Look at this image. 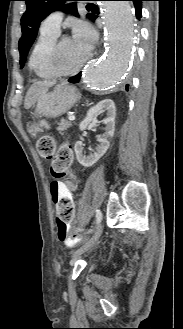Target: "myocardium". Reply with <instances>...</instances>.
<instances>
[{"label": "myocardium", "mask_w": 183, "mask_h": 329, "mask_svg": "<svg viewBox=\"0 0 183 329\" xmlns=\"http://www.w3.org/2000/svg\"><path fill=\"white\" fill-rule=\"evenodd\" d=\"M64 39H60L55 42L50 54V66L53 73L57 77L69 76L78 73L91 58V54L89 53L86 59L79 65L70 69H63L61 67V59H62V42Z\"/></svg>", "instance_id": "f54148a6"}]
</instances>
